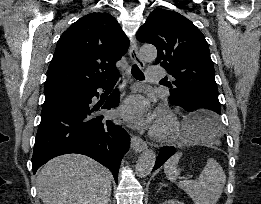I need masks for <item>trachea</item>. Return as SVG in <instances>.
I'll use <instances>...</instances> for the list:
<instances>
[{
	"instance_id": "obj_1",
	"label": "trachea",
	"mask_w": 261,
	"mask_h": 204,
	"mask_svg": "<svg viewBox=\"0 0 261 204\" xmlns=\"http://www.w3.org/2000/svg\"><path fill=\"white\" fill-rule=\"evenodd\" d=\"M131 72H132V75H133L137 80H140V81L144 80V74H143V72L139 69V67H138L136 64H134V65L132 66Z\"/></svg>"
}]
</instances>
